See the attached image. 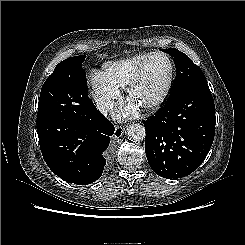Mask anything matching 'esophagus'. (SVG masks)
Returning <instances> with one entry per match:
<instances>
[{"label": "esophagus", "instance_id": "1", "mask_svg": "<svg viewBox=\"0 0 245 245\" xmlns=\"http://www.w3.org/2000/svg\"><path fill=\"white\" fill-rule=\"evenodd\" d=\"M124 131L125 128L123 126H116L114 131V138H120L123 135Z\"/></svg>", "mask_w": 245, "mask_h": 245}]
</instances>
